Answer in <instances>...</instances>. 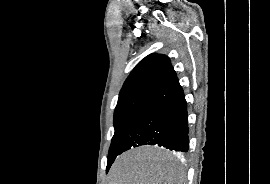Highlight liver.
I'll return each instance as SVG.
<instances>
[{"instance_id":"6515ba94","label":"liver","mask_w":270,"mask_h":184,"mask_svg":"<svg viewBox=\"0 0 270 184\" xmlns=\"http://www.w3.org/2000/svg\"><path fill=\"white\" fill-rule=\"evenodd\" d=\"M156 146L133 148L118 156L109 171V184H185V173Z\"/></svg>"}]
</instances>
